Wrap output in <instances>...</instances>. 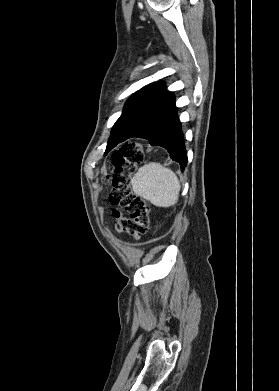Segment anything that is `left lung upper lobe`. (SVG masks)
<instances>
[{
	"instance_id": "obj_1",
	"label": "left lung upper lobe",
	"mask_w": 279,
	"mask_h": 391,
	"mask_svg": "<svg viewBox=\"0 0 279 391\" xmlns=\"http://www.w3.org/2000/svg\"><path fill=\"white\" fill-rule=\"evenodd\" d=\"M175 106L174 95L163 82L149 84L133 94L126 102L120 118L112 128L106 153L126 137L149 127Z\"/></svg>"
}]
</instances>
